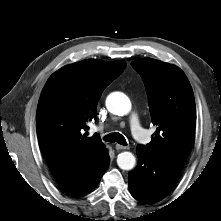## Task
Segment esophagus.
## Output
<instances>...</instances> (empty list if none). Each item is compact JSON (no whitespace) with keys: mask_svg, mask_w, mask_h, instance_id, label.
<instances>
[{"mask_svg":"<svg viewBox=\"0 0 221 221\" xmlns=\"http://www.w3.org/2000/svg\"><path fill=\"white\" fill-rule=\"evenodd\" d=\"M115 148H116V150H126V149H129L128 146H123V145H120V144H116Z\"/></svg>","mask_w":221,"mask_h":221,"instance_id":"34e87169","label":"esophagus"}]
</instances>
